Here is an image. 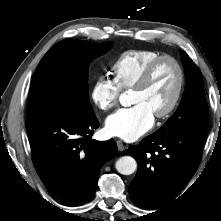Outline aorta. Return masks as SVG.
Here are the masks:
<instances>
[{
	"instance_id": "762f6f07",
	"label": "aorta",
	"mask_w": 221,
	"mask_h": 221,
	"mask_svg": "<svg viewBox=\"0 0 221 221\" xmlns=\"http://www.w3.org/2000/svg\"><path fill=\"white\" fill-rule=\"evenodd\" d=\"M115 167L120 174L130 175L137 169V162L131 156H123L116 161Z\"/></svg>"
}]
</instances>
